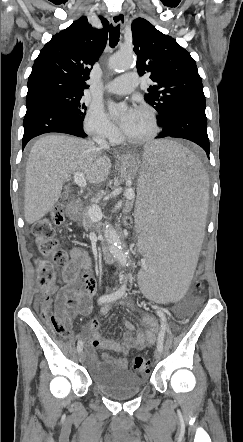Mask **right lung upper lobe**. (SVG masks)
Here are the masks:
<instances>
[{"label":"right lung upper lobe","mask_w":243,"mask_h":442,"mask_svg":"<svg viewBox=\"0 0 243 442\" xmlns=\"http://www.w3.org/2000/svg\"><path fill=\"white\" fill-rule=\"evenodd\" d=\"M100 19L101 30L93 28L83 16L52 37L34 62L26 98L53 89L83 93L89 87L85 81L107 42L109 22Z\"/></svg>","instance_id":"1"}]
</instances>
